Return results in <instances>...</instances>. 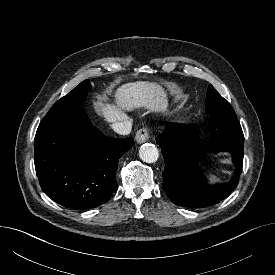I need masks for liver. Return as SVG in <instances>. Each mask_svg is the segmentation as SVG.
Here are the masks:
<instances>
[{
  "instance_id": "6515ba94",
  "label": "liver",
  "mask_w": 275,
  "mask_h": 275,
  "mask_svg": "<svg viewBox=\"0 0 275 275\" xmlns=\"http://www.w3.org/2000/svg\"><path fill=\"white\" fill-rule=\"evenodd\" d=\"M116 105L98 101L97 105L108 122L122 121L126 116L123 110L145 108L151 112L164 110V91L155 82L137 81L120 86L115 93Z\"/></svg>"
}]
</instances>
